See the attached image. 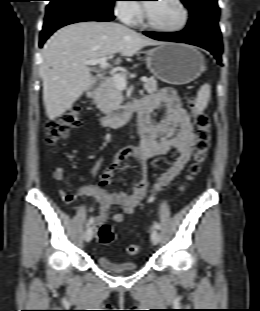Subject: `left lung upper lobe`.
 I'll return each mask as SVG.
<instances>
[{"label":"left lung upper lobe","instance_id":"obj_1","mask_svg":"<svg viewBox=\"0 0 260 311\" xmlns=\"http://www.w3.org/2000/svg\"><path fill=\"white\" fill-rule=\"evenodd\" d=\"M189 8L191 19L186 29L206 30L220 33L217 0H181Z\"/></svg>","mask_w":260,"mask_h":311}]
</instances>
